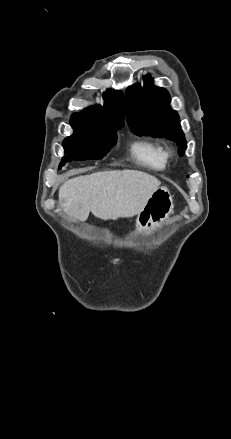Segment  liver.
Segmentation results:
<instances>
[{
    "mask_svg": "<svg viewBox=\"0 0 231 439\" xmlns=\"http://www.w3.org/2000/svg\"><path fill=\"white\" fill-rule=\"evenodd\" d=\"M160 181L137 170H113L78 176L59 189V205L74 220L86 221L91 212L102 220L138 215Z\"/></svg>",
    "mask_w": 231,
    "mask_h": 439,
    "instance_id": "obj_1",
    "label": "liver"
}]
</instances>
